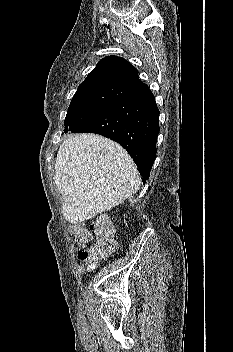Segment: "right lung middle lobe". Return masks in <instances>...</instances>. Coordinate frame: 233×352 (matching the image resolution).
I'll return each mask as SVG.
<instances>
[{"instance_id": "dd1d6c3e", "label": "right lung middle lobe", "mask_w": 233, "mask_h": 352, "mask_svg": "<svg viewBox=\"0 0 233 352\" xmlns=\"http://www.w3.org/2000/svg\"><path fill=\"white\" fill-rule=\"evenodd\" d=\"M138 93L135 89L118 85H99L78 89L70 103L65 132L72 131L112 105Z\"/></svg>"}]
</instances>
